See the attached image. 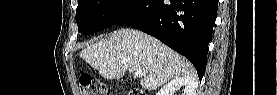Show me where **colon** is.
Here are the masks:
<instances>
[{"label": "colon", "instance_id": "obj_1", "mask_svg": "<svg viewBox=\"0 0 277 95\" xmlns=\"http://www.w3.org/2000/svg\"><path fill=\"white\" fill-rule=\"evenodd\" d=\"M80 86L82 93L85 95H106L109 94L108 87L105 83H102L90 76H81ZM128 94L130 95H145L142 90L134 89Z\"/></svg>", "mask_w": 277, "mask_h": 95}]
</instances>
